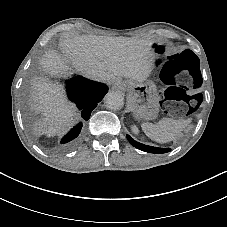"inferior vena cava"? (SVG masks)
<instances>
[{
  "instance_id": "602c4592",
  "label": "inferior vena cava",
  "mask_w": 227,
  "mask_h": 227,
  "mask_svg": "<svg viewBox=\"0 0 227 227\" xmlns=\"http://www.w3.org/2000/svg\"><path fill=\"white\" fill-rule=\"evenodd\" d=\"M106 78L104 77V78H102V79H98V81H101V82H106Z\"/></svg>"
}]
</instances>
